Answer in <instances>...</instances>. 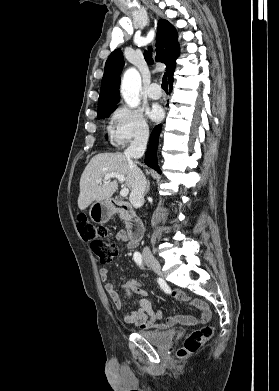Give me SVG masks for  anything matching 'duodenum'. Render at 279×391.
<instances>
[{"instance_id":"duodenum-1","label":"duodenum","mask_w":279,"mask_h":391,"mask_svg":"<svg viewBox=\"0 0 279 391\" xmlns=\"http://www.w3.org/2000/svg\"><path fill=\"white\" fill-rule=\"evenodd\" d=\"M108 208L112 214L120 213L125 217L128 223L129 243L131 246L137 245L143 236L144 224L135 215L131 205L126 201L111 199Z\"/></svg>"}]
</instances>
